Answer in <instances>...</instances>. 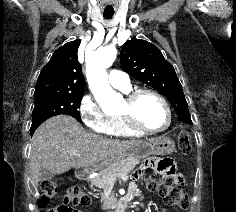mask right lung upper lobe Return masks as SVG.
I'll return each mask as SVG.
<instances>
[{
	"label": "right lung upper lobe",
	"mask_w": 236,
	"mask_h": 212,
	"mask_svg": "<svg viewBox=\"0 0 236 212\" xmlns=\"http://www.w3.org/2000/svg\"><path fill=\"white\" fill-rule=\"evenodd\" d=\"M80 40L64 44L52 55L38 77L34 96L50 93H84L85 80L77 59Z\"/></svg>",
	"instance_id": "right-lung-upper-lobe-1"
}]
</instances>
